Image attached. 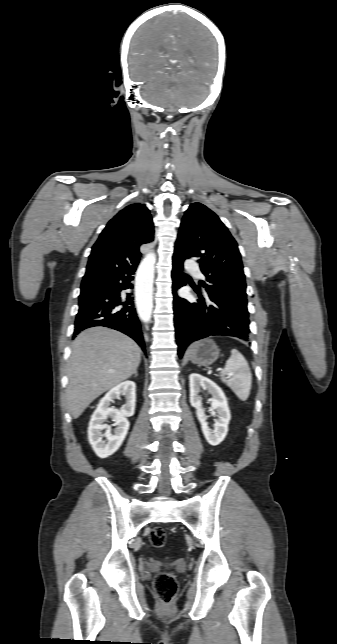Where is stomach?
<instances>
[{"instance_id":"1","label":"stomach","mask_w":337,"mask_h":644,"mask_svg":"<svg viewBox=\"0 0 337 644\" xmlns=\"http://www.w3.org/2000/svg\"><path fill=\"white\" fill-rule=\"evenodd\" d=\"M219 353L216 343L211 339H205L189 348L187 359L198 366L208 367L218 359Z\"/></svg>"}]
</instances>
